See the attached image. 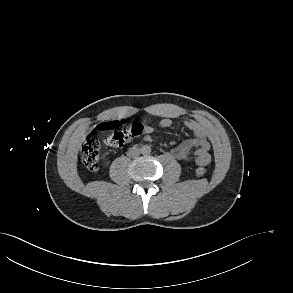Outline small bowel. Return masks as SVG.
I'll use <instances>...</instances> for the list:
<instances>
[{
  "instance_id": "c3829d8e",
  "label": "small bowel",
  "mask_w": 293,
  "mask_h": 293,
  "mask_svg": "<svg viewBox=\"0 0 293 293\" xmlns=\"http://www.w3.org/2000/svg\"><path fill=\"white\" fill-rule=\"evenodd\" d=\"M172 121L168 118L158 120L155 124L147 128V133H152L156 128H168ZM185 126L191 131V136L184 140L180 145L172 149L171 153L176 159L188 164L205 166L210 163V143L207 140L205 127L192 119L185 121ZM195 149L194 154L190 155V150Z\"/></svg>"
}]
</instances>
